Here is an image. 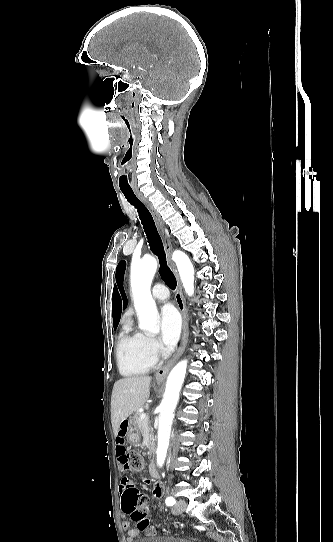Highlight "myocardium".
Wrapping results in <instances>:
<instances>
[{
  "label": "myocardium",
  "mask_w": 333,
  "mask_h": 542,
  "mask_svg": "<svg viewBox=\"0 0 333 542\" xmlns=\"http://www.w3.org/2000/svg\"><path fill=\"white\" fill-rule=\"evenodd\" d=\"M155 354H156L157 356H159V357H166V356H167V353H166L165 351L161 350V349H160V350H157V351L155 352Z\"/></svg>",
  "instance_id": "1"
}]
</instances>
